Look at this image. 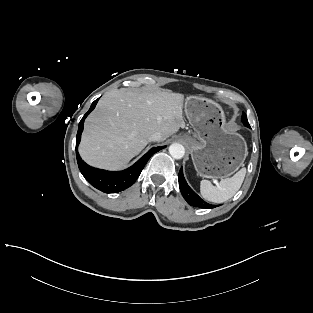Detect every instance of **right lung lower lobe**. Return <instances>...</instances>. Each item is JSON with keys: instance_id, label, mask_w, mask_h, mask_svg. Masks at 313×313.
Instances as JSON below:
<instances>
[{"instance_id": "1", "label": "right lung lower lobe", "mask_w": 313, "mask_h": 313, "mask_svg": "<svg viewBox=\"0 0 313 313\" xmlns=\"http://www.w3.org/2000/svg\"><path fill=\"white\" fill-rule=\"evenodd\" d=\"M98 99L95 100L88 112L83 116L79 123L78 132L76 136V157L79 169L84 176V178L95 188L101 190L105 193H117L134 184V182L139 177L142 169L146 165L149 158L159 150L165 148L155 147L150 149L144 156H142L134 165L131 167L118 172L106 171L102 169L93 168L87 165L79 156L78 145L81 140V133L83 131V124L85 118L89 113L95 108Z\"/></svg>"}]
</instances>
